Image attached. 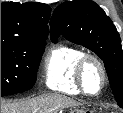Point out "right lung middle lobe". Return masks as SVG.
I'll use <instances>...</instances> for the list:
<instances>
[{"label": "right lung middle lobe", "mask_w": 123, "mask_h": 113, "mask_svg": "<svg viewBox=\"0 0 123 113\" xmlns=\"http://www.w3.org/2000/svg\"><path fill=\"white\" fill-rule=\"evenodd\" d=\"M44 46L45 39L1 42V97L33 87Z\"/></svg>", "instance_id": "dd1d6c3e"}]
</instances>
